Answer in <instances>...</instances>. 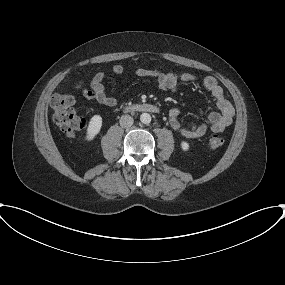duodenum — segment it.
Instances as JSON below:
<instances>
[{"label": "duodenum", "instance_id": "duodenum-1", "mask_svg": "<svg viewBox=\"0 0 285 285\" xmlns=\"http://www.w3.org/2000/svg\"><path fill=\"white\" fill-rule=\"evenodd\" d=\"M132 109L139 112H149V113H156L159 111V108L157 106L149 103L136 104L132 107Z\"/></svg>", "mask_w": 285, "mask_h": 285}]
</instances>
